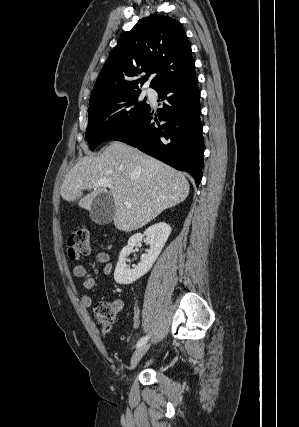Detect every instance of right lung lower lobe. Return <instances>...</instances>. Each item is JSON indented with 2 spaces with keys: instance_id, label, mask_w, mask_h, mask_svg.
<instances>
[{
  "instance_id": "1",
  "label": "right lung lower lobe",
  "mask_w": 299,
  "mask_h": 427,
  "mask_svg": "<svg viewBox=\"0 0 299 427\" xmlns=\"http://www.w3.org/2000/svg\"><path fill=\"white\" fill-rule=\"evenodd\" d=\"M156 91L163 105L157 114L164 123H151L149 108L137 123L113 140L132 145L177 170L189 172L198 186L202 179L204 142L196 75L166 82Z\"/></svg>"
}]
</instances>
